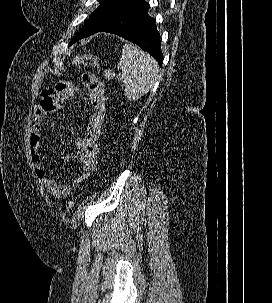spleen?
<instances>
[{
  "instance_id": "3e777b00",
  "label": "spleen",
  "mask_w": 272,
  "mask_h": 303,
  "mask_svg": "<svg viewBox=\"0 0 272 303\" xmlns=\"http://www.w3.org/2000/svg\"><path fill=\"white\" fill-rule=\"evenodd\" d=\"M117 67L121 71L117 78L125 85V96L131 101L147 94L159 77L156 60L130 44L123 45Z\"/></svg>"
}]
</instances>
